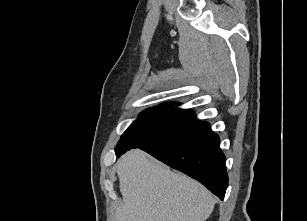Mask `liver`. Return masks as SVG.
<instances>
[{
  "mask_svg": "<svg viewBox=\"0 0 307 221\" xmlns=\"http://www.w3.org/2000/svg\"><path fill=\"white\" fill-rule=\"evenodd\" d=\"M122 203L116 221H205L215 200L199 182L135 149L116 164Z\"/></svg>",
  "mask_w": 307,
  "mask_h": 221,
  "instance_id": "1",
  "label": "liver"
}]
</instances>
